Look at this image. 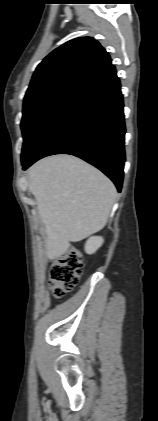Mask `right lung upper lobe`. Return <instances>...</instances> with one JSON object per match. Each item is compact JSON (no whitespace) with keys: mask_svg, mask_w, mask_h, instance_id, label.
I'll return each instance as SVG.
<instances>
[{"mask_svg":"<svg viewBox=\"0 0 158 421\" xmlns=\"http://www.w3.org/2000/svg\"><path fill=\"white\" fill-rule=\"evenodd\" d=\"M111 65V59L92 37H79L52 51L36 68L26 94L60 83L83 84Z\"/></svg>","mask_w":158,"mask_h":421,"instance_id":"right-lung-upper-lobe-1","label":"right lung upper lobe"}]
</instances>
